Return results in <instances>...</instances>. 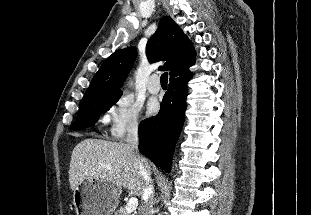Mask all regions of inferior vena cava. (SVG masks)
Masks as SVG:
<instances>
[{
    "label": "inferior vena cava",
    "instance_id": "obj_1",
    "mask_svg": "<svg viewBox=\"0 0 311 215\" xmlns=\"http://www.w3.org/2000/svg\"><path fill=\"white\" fill-rule=\"evenodd\" d=\"M127 144L129 148L136 154L137 162L139 164L140 170L142 172L144 178V187H143V197L147 199L141 209V215H150V210L152 207V200H153V183L150 178V174L147 172L145 167L144 158H142L138 153V128L137 126H133L128 130Z\"/></svg>",
    "mask_w": 311,
    "mask_h": 215
}]
</instances>
